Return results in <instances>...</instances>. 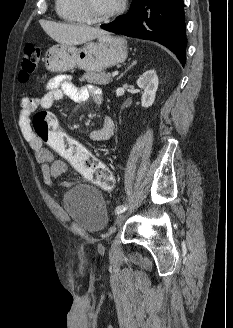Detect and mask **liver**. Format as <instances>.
Here are the masks:
<instances>
[{
    "instance_id": "obj_1",
    "label": "liver",
    "mask_w": 233,
    "mask_h": 328,
    "mask_svg": "<svg viewBox=\"0 0 233 328\" xmlns=\"http://www.w3.org/2000/svg\"><path fill=\"white\" fill-rule=\"evenodd\" d=\"M43 30L61 45H79L105 34V31L86 25L40 22Z\"/></svg>"
}]
</instances>
